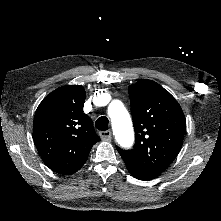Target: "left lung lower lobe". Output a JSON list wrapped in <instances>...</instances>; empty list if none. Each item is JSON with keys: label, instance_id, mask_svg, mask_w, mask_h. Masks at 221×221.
Listing matches in <instances>:
<instances>
[{"label": "left lung lower lobe", "instance_id": "left-lung-lower-lobe-1", "mask_svg": "<svg viewBox=\"0 0 221 221\" xmlns=\"http://www.w3.org/2000/svg\"><path fill=\"white\" fill-rule=\"evenodd\" d=\"M135 178H137V179H140V180H145V179H143L140 175H138L137 173H135V172H132V171H129Z\"/></svg>", "mask_w": 221, "mask_h": 221}]
</instances>
